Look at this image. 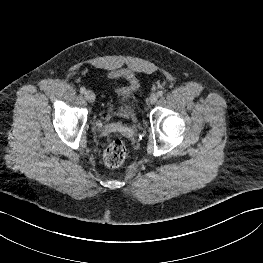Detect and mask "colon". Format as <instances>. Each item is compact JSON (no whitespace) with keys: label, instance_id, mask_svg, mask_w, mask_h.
Returning <instances> with one entry per match:
<instances>
[{"label":"colon","instance_id":"1","mask_svg":"<svg viewBox=\"0 0 263 263\" xmlns=\"http://www.w3.org/2000/svg\"><path fill=\"white\" fill-rule=\"evenodd\" d=\"M126 146L121 140H114L106 147L103 160L106 166L116 168L123 164L126 158Z\"/></svg>","mask_w":263,"mask_h":263}]
</instances>
